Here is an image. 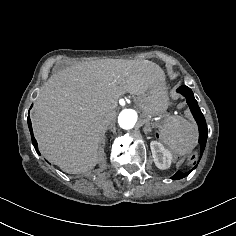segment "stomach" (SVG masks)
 Wrapping results in <instances>:
<instances>
[{
	"mask_svg": "<svg viewBox=\"0 0 236 236\" xmlns=\"http://www.w3.org/2000/svg\"><path fill=\"white\" fill-rule=\"evenodd\" d=\"M169 105L168 91L165 83L158 82L142 96V106L151 114L164 112Z\"/></svg>",
	"mask_w": 236,
	"mask_h": 236,
	"instance_id": "0dacf381",
	"label": "stomach"
}]
</instances>
